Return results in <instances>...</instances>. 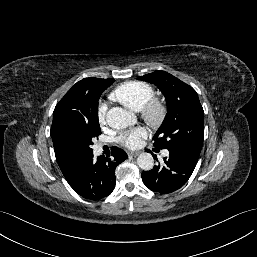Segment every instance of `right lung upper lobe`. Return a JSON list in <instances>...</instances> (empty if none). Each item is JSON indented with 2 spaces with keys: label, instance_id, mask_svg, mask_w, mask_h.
<instances>
[{
  "label": "right lung upper lobe",
  "instance_id": "cb5924a9",
  "mask_svg": "<svg viewBox=\"0 0 257 257\" xmlns=\"http://www.w3.org/2000/svg\"><path fill=\"white\" fill-rule=\"evenodd\" d=\"M114 79H100V78H84L77 82L56 105L53 112V122L51 127V137L54 145V151L58 165L65 178L69 177L79 162L85 156L78 155L68 148H66L58 138V129L61 125L73 119V112L70 107L65 106L64 100L69 98L72 94L79 92L83 88H89L94 85H111Z\"/></svg>",
  "mask_w": 257,
  "mask_h": 257
}]
</instances>
